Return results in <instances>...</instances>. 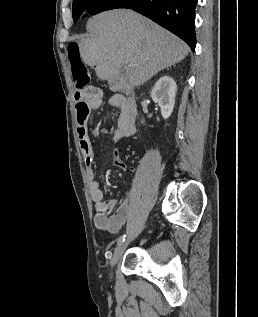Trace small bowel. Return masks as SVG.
Listing matches in <instances>:
<instances>
[{
	"mask_svg": "<svg viewBox=\"0 0 258 317\" xmlns=\"http://www.w3.org/2000/svg\"><path fill=\"white\" fill-rule=\"evenodd\" d=\"M85 94V99L76 104L75 114L79 145L89 179V193L96 210L94 223L98 229L115 234L120 231L132 212V199L126 194L119 204L115 200H105L100 184L95 179L93 170L95 149L89 137L88 121L91 113L101 105V91L97 87H89L85 90ZM109 103L119 111L114 140L129 137L135 131L136 105L134 101L121 94H116L110 98ZM114 165L121 170L127 169V165L118 155L114 158Z\"/></svg>",
	"mask_w": 258,
	"mask_h": 317,
	"instance_id": "obj_1",
	"label": "small bowel"
}]
</instances>
